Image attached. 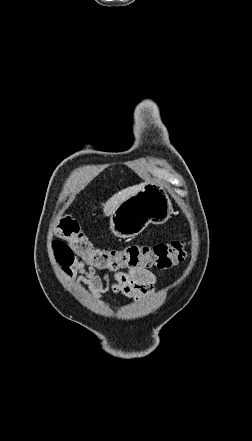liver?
I'll return each mask as SVG.
<instances>
[{
  "label": "liver",
  "instance_id": "1",
  "mask_svg": "<svg viewBox=\"0 0 252 441\" xmlns=\"http://www.w3.org/2000/svg\"><path fill=\"white\" fill-rule=\"evenodd\" d=\"M143 186L144 183H141L139 185L123 189L114 194L111 198L108 199L106 203L102 204L104 214L106 216L111 215L122 202L136 194Z\"/></svg>",
  "mask_w": 252,
  "mask_h": 441
}]
</instances>
